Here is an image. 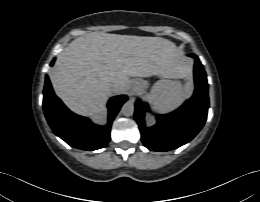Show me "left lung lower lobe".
I'll list each match as a JSON object with an SVG mask.
<instances>
[{
	"label": "left lung lower lobe",
	"mask_w": 260,
	"mask_h": 202,
	"mask_svg": "<svg viewBox=\"0 0 260 202\" xmlns=\"http://www.w3.org/2000/svg\"><path fill=\"white\" fill-rule=\"evenodd\" d=\"M194 79L195 92L179 109L166 115L157 116L153 127H146L145 110L148 104L137 100L135 120L141 131L143 144L152 151H169L189 142L203 127L209 108L208 83L204 68L195 54Z\"/></svg>",
	"instance_id": "obj_1"
}]
</instances>
